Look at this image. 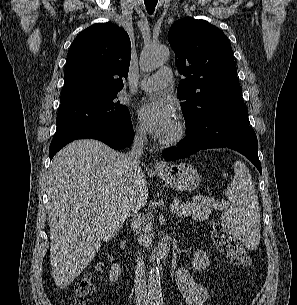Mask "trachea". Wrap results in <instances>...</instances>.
<instances>
[{
  "mask_svg": "<svg viewBox=\"0 0 297 305\" xmlns=\"http://www.w3.org/2000/svg\"><path fill=\"white\" fill-rule=\"evenodd\" d=\"M144 4L146 6V10L149 14H152L157 5V0H144Z\"/></svg>",
  "mask_w": 297,
  "mask_h": 305,
  "instance_id": "obj_1",
  "label": "trachea"
}]
</instances>
